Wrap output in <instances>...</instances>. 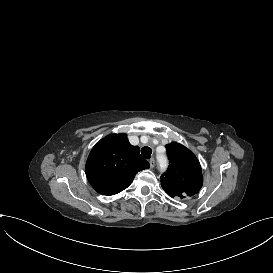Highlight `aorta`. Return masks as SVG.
<instances>
[{
    "label": "aorta",
    "mask_w": 273,
    "mask_h": 273,
    "mask_svg": "<svg viewBox=\"0 0 273 273\" xmlns=\"http://www.w3.org/2000/svg\"><path fill=\"white\" fill-rule=\"evenodd\" d=\"M158 160L160 163V168L164 169L166 167V157L164 155L158 156Z\"/></svg>",
    "instance_id": "1"
}]
</instances>
